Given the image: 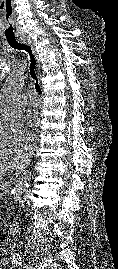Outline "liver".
Returning a JSON list of instances; mask_svg holds the SVG:
<instances>
[{
	"label": "liver",
	"mask_w": 118,
	"mask_h": 269,
	"mask_svg": "<svg viewBox=\"0 0 118 269\" xmlns=\"http://www.w3.org/2000/svg\"><path fill=\"white\" fill-rule=\"evenodd\" d=\"M26 165L25 153L19 149H0V180L9 170L23 171Z\"/></svg>",
	"instance_id": "1"
}]
</instances>
